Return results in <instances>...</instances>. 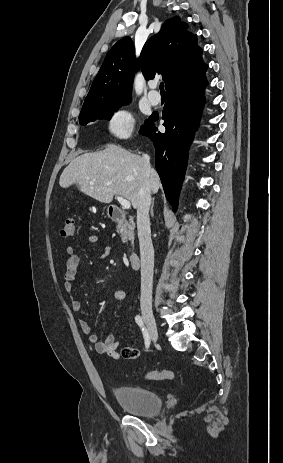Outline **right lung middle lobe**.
Instances as JSON below:
<instances>
[{
	"label": "right lung middle lobe",
	"mask_w": 283,
	"mask_h": 463,
	"mask_svg": "<svg viewBox=\"0 0 283 463\" xmlns=\"http://www.w3.org/2000/svg\"><path fill=\"white\" fill-rule=\"evenodd\" d=\"M130 101V97L114 98L83 105L79 115V123L81 125H86L87 123L98 119L110 120L113 112H116L121 105L127 104Z\"/></svg>",
	"instance_id": "right-lung-middle-lobe-1"
}]
</instances>
